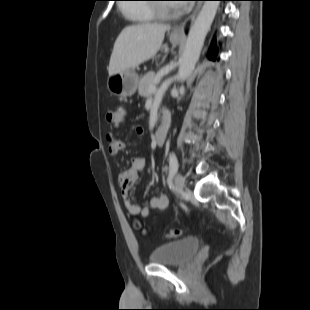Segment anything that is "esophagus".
Listing matches in <instances>:
<instances>
[{"label": "esophagus", "mask_w": 310, "mask_h": 310, "mask_svg": "<svg viewBox=\"0 0 310 310\" xmlns=\"http://www.w3.org/2000/svg\"><path fill=\"white\" fill-rule=\"evenodd\" d=\"M201 7V3H198L193 11V13L189 16V18L183 22L182 24L176 26L174 29H173V34L176 35V36H179V37H185V28L186 26L189 24V22L193 21L196 14L198 13L199 9Z\"/></svg>", "instance_id": "esophagus-1"}]
</instances>
